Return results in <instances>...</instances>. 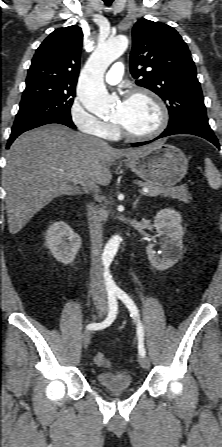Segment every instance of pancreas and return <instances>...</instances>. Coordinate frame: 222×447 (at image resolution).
I'll return each instance as SVG.
<instances>
[{
    "instance_id": "1",
    "label": "pancreas",
    "mask_w": 222,
    "mask_h": 447,
    "mask_svg": "<svg viewBox=\"0 0 222 447\" xmlns=\"http://www.w3.org/2000/svg\"><path fill=\"white\" fill-rule=\"evenodd\" d=\"M143 186L147 187L149 189L148 193H144L146 196L154 197L157 195H161L163 197H169L172 199H178L179 201L188 203L190 200H192L191 194L187 191V188L184 186L180 187H162L157 184L152 183H143ZM102 198H99V200ZM99 216L103 219H106L108 216V213L103 208L99 209L97 211Z\"/></svg>"
}]
</instances>
